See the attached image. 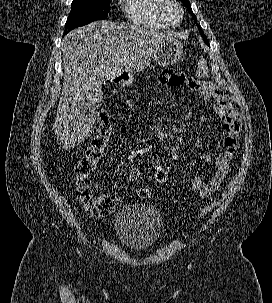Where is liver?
<instances>
[{
	"mask_svg": "<svg viewBox=\"0 0 272 303\" xmlns=\"http://www.w3.org/2000/svg\"><path fill=\"white\" fill-rule=\"evenodd\" d=\"M168 38L172 33L110 21H95L65 36L64 82L54 123L64 149L74 148L92 133L94 114L103 100V82L124 71L146 69Z\"/></svg>",
	"mask_w": 272,
	"mask_h": 303,
	"instance_id": "1",
	"label": "liver"
}]
</instances>
